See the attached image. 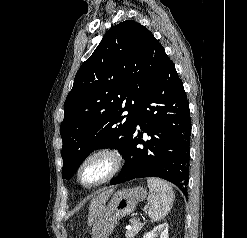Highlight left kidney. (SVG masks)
I'll return each mask as SVG.
<instances>
[{
	"label": "left kidney",
	"mask_w": 247,
	"mask_h": 238,
	"mask_svg": "<svg viewBox=\"0 0 247 238\" xmlns=\"http://www.w3.org/2000/svg\"><path fill=\"white\" fill-rule=\"evenodd\" d=\"M169 238L168 236V224L163 223L155 227L151 232L146 233L143 238Z\"/></svg>",
	"instance_id": "obj_1"
}]
</instances>
